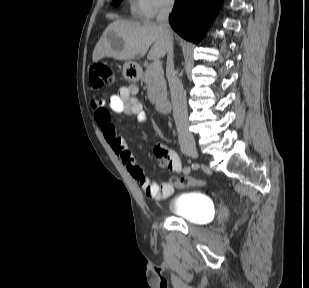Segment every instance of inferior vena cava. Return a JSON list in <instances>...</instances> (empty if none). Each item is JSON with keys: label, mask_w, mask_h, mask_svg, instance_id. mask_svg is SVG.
Here are the masks:
<instances>
[{"label": "inferior vena cava", "mask_w": 309, "mask_h": 288, "mask_svg": "<svg viewBox=\"0 0 309 288\" xmlns=\"http://www.w3.org/2000/svg\"><path fill=\"white\" fill-rule=\"evenodd\" d=\"M174 0H166L157 15V23L163 29L167 39V66L166 76L169 83L173 116L177 127L180 145L194 144V137L189 131L188 110L186 95L181 82L174 70L173 62V37L169 25V14L172 11Z\"/></svg>", "instance_id": "602c4592"}]
</instances>
